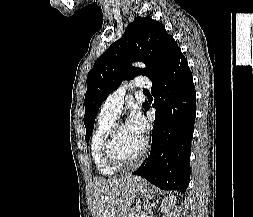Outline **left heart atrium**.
<instances>
[{
	"mask_svg": "<svg viewBox=\"0 0 253 217\" xmlns=\"http://www.w3.org/2000/svg\"><path fill=\"white\" fill-rule=\"evenodd\" d=\"M126 125L135 135L144 140L147 131V123L138 109L135 108L131 111Z\"/></svg>",
	"mask_w": 253,
	"mask_h": 217,
	"instance_id": "obj_1",
	"label": "left heart atrium"
}]
</instances>
